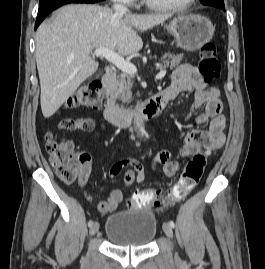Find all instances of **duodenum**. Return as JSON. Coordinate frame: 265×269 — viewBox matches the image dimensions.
<instances>
[{
    "label": "duodenum",
    "instance_id": "1",
    "mask_svg": "<svg viewBox=\"0 0 265 269\" xmlns=\"http://www.w3.org/2000/svg\"><path fill=\"white\" fill-rule=\"evenodd\" d=\"M116 78V73L112 69H107L102 79L106 94L104 117L108 122L114 125H129L138 119L153 118L164 108L165 101L162 93L148 98L133 109L119 107L116 104Z\"/></svg>",
    "mask_w": 265,
    "mask_h": 269
}]
</instances>
